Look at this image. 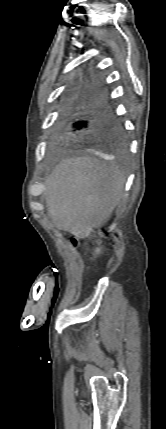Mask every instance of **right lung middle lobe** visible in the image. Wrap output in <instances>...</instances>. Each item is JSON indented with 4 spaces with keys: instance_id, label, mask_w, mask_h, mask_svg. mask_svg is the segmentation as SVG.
Segmentation results:
<instances>
[{
    "instance_id": "right-lung-middle-lobe-1",
    "label": "right lung middle lobe",
    "mask_w": 166,
    "mask_h": 429,
    "mask_svg": "<svg viewBox=\"0 0 166 429\" xmlns=\"http://www.w3.org/2000/svg\"><path fill=\"white\" fill-rule=\"evenodd\" d=\"M106 140L111 143V146L115 148H122L125 141L123 131L121 129L113 131Z\"/></svg>"
}]
</instances>
